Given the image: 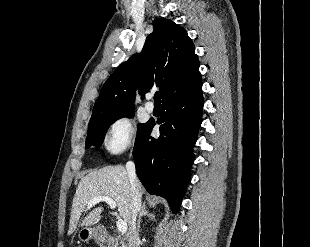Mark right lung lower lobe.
Here are the masks:
<instances>
[{"label": "right lung lower lobe", "instance_id": "obj_1", "mask_svg": "<svg viewBox=\"0 0 310 247\" xmlns=\"http://www.w3.org/2000/svg\"><path fill=\"white\" fill-rule=\"evenodd\" d=\"M202 109L200 81L162 101L159 138L150 136L155 122L148 121L135 140L133 155L140 181L150 194L166 198L173 213L178 212L190 179Z\"/></svg>", "mask_w": 310, "mask_h": 247}]
</instances>
